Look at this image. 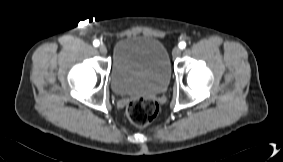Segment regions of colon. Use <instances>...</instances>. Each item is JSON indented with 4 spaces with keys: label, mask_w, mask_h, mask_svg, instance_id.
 I'll return each instance as SVG.
<instances>
[{
    "label": "colon",
    "mask_w": 283,
    "mask_h": 162,
    "mask_svg": "<svg viewBox=\"0 0 283 162\" xmlns=\"http://www.w3.org/2000/svg\"><path fill=\"white\" fill-rule=\"evenodd\" d=\"M158 111L159 106L154 100L138 97L130 101L126 109V115L135 126L145 127L156 118Z\"/></svg>",
    "instance_id": "colon-1"
}]
</instances>
